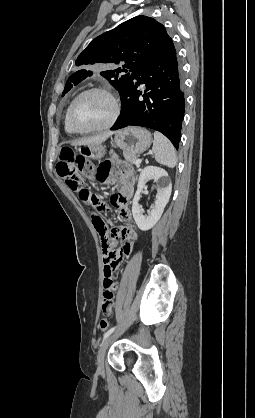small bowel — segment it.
Returning <instances> with one entry per match:
<instances>
[{
    "mask_svg": "<svg viewBox=\"0 0 255 418\" xmlns=\"http://www.w3.org/2000/svg\"><path fill=\"white\" fill-rule=\"evenodd\" d=\"M119 161L118 154H113L111 160L104 161L98 168L97 179L120 184L118 192L111 197V203L116 207L119 217L124 222H129L128 202L133 194L134 176L131 170L125 168ZM93 225L96 228L94 222ZM97 231L99 236H102L99 247L104 263V291L99 312L109 319L113 315L114 292L118 287L113 277L121 272L123 265L129 263L128 256H135L140 236L130 225L118 229L99 227Z\"/></svg>",
    "mask_w": 255,
    "mask_h": 418,
    "instance_id": "small-bowel-1",
    "label": "small bowel"
}]
</instances>
